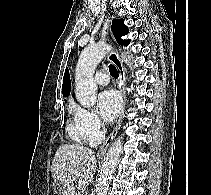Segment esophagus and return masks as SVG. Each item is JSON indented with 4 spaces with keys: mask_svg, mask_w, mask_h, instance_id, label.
Instances as JSON below:
<instances>
[{
    "mask_svg": "<svg viewBox=\"0 0 211 195\" xmlns=\"http://www.w3.org/2000/svg\"><path fill=\"white\" fill-rule=\"evenodd\" d=\"M109 60L115 65V67L117 68L118 73H119L118 87H119L121 95H122L123 107H122V112H121V115H120V117L118 119V122H117L116 126L114 127L112 132L109 134L107 139L100 146V148H99V150L97 152V156L98 157H103L104 156V154L106 153L109 145L111 144V142L113 141V139L117 135V133H118L120 127H121V124L123 122L124 111H125L126 102H127L126 91H125L126 74H125V70H124L123 64H122V62H121V60H120V58L118 56V52H117V50L115 48L109 54Z\"/></svg>",
    "mask_w": 211,
    "mask_h": 195,
    "instance_id": "1",
    "label": "esophagus"
}]
</instances>
